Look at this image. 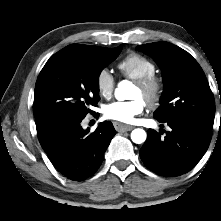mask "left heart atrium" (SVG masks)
Instances as JSON below:
<instances>
[{
  "label": "left heart atrium",
  "instance_id": "left-heart-atrium-1",
  "mask_svg": "<svg viewBox=\"0 0 221 221\" xmlns=\"http://www.w3.org/2000/svg\"><path fill=\"white\" fill-rule=\"evenodd\" d=\"M144 103L140 98L130 101H116L108 104L104 109L107 118L122 123H131L135 117L144 111Z\"/></svg>",
  "mask_w": 221,
  "mask_h": 221
}]
</instances>
